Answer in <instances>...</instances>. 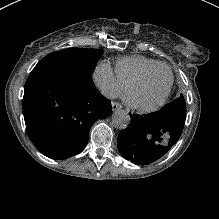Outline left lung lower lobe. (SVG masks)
Wrapping results in <instances>:
<instances>
[{"label":"left lung lower lobe","mask_w":219,"mask_h":219,"mask_svg":"<svg viewBox=\"0 0 219 219\" xmlns=\"http://www.w3.org/2000/svg\"><path fill=\"white\" fill-rule=\"evenodd\" d=\"M130 116L129 127L118 136V149L124 158L139 165L150 164L167 153L184 127V120L169 114Z\"/></svg>","instance_id":"obj_1"}]
</instances>
